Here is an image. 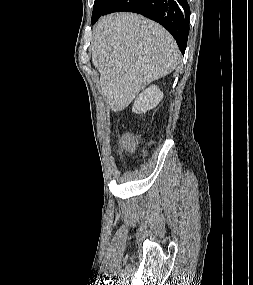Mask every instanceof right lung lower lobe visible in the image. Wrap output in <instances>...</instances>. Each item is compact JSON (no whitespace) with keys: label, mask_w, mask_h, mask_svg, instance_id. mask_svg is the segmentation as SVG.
<instances>
[{"label":"right lung lower lobe","mask_w":253,"mask_h":285,"mask_svg":"<svg viewBox=\"0 0 253 285\" xmlns=\"http://www.w3.org/2000/svg\"><path fill=\"white\" fill-rule=\"evenodd\" d=\"M118 11L139 13L159 22L172 34L184 54L190 17L187 0H113L100 16ZM99 17L93 19L92 23L94 24Z\"/></svg>","instance_id":"1"}]
</instances>
